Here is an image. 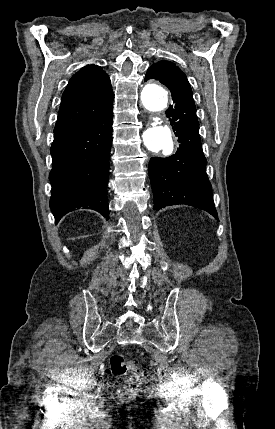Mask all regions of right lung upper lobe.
Listing matches in <instances>:
<instances>
[{
	"instance_id": "obj_1",
	"label": "right lung upper lobe",
	"mask_w": 275,
	"mask_h": 429,
	"mask_svg": "<svg viewBox=\"0 0 275 429\" xmlns=\"http://www.w3.org/2000/svg\"><path fill=\"white\" fill-rule=\"evenodd\" d=\"M113 112V92L108 75L97 65H87L70 79L61 100L54 132L107 117Z\"/></svg>"
}]
</instances>
